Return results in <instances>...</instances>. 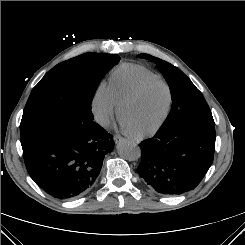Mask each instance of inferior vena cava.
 Segmentation results:
<instances>
[{"label":"inferior vena cava","instance_id":"602c4592","mask_svg":"<svg viewBox=\"0 0 245 245\" xmlns=\"http://www.w3.org/2000/svg\"><path fill=\"white\" fill-rule=\"evenodd\" d=\"M96 121L104 127H107L110 124L109 118L107 116H97Z\"/></svg>","mask_w":245,"mask_h":245}]
</instances>
